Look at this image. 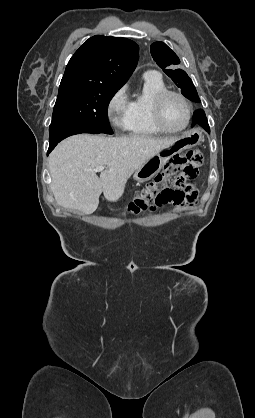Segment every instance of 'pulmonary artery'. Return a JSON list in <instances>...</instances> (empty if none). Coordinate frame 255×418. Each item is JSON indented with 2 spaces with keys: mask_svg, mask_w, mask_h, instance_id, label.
<instances>
[{
  "mask_svg": "<svg viewBox=\"0 0 255 418\" xmlns=\"http://www.w3.org/2000/svg\"><path fill=\"white\" fill-rule=\"evenodd\" d=\"M144 77H160V74L155 70H148L144 73Z\"/></svg>",
  "mask_w": 255,
  "mask_h": 418,
  "instance_id": "obj_1",
  "label": "pulmonary artery"
}]
</instances>
